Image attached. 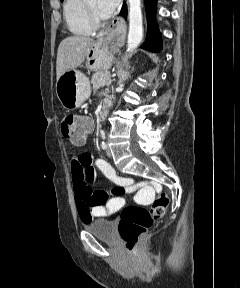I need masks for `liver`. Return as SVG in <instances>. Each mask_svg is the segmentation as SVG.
Segmentation results:
<instances>
[{
	"instance_id": "6515ba94",
	"label": "liver",
	"mask_w": 240,
	"mask_h": 288,
	"mask_svg": "<svg viewBox=\"0 0 240 288\" xmlns=\"http://www.w3.org/2000/svg\"><path fill=\"white\" fill-rule=\"evenodd\" d=\"M94 43V39L83 36H70L63 39L57 51V80L66 71L74 70L80 66L83 63L89 48Z\"/></svg>"
}]
</instances>
